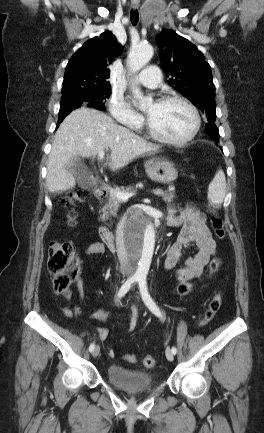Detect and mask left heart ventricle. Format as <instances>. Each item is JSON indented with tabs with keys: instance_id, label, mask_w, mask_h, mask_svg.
Here are the masks:
<instances>
[{
	"instance_id": "b2bd125f",
	"label": "left heart ventricle",
	"mask_w": 264,
	"mask_h": 433,
	"mask_svg": "<svg viewBox=\"0 0 264 433\" xmlns=\"http://www.w3.org/2000/svg\"><path fill=\"white\" fill-rule=\"evenodd\" d=\"M148 119L154 129L171 139L185 137L193 127V115L180 103H153L146 108Z\"/></svg>"
}]
</instances>
